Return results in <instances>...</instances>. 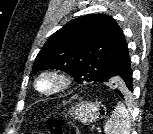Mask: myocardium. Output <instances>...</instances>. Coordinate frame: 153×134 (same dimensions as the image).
Segmentation results:
<instances>
[{
    "label": "myocardium",
    "mask_w": 153,
    "mask_h": 134,
    "mask_svg": "<svg viewBox=\"0 0 153 134\" xmlns=\"http://www.w3.org/2000/svg\"><path fill=\"white\" fill-rule=\"evenodd\" d=\"M43 78H51L55 80L56 85L53 89L50 90H42L39 87V83ZM72 85V78L66 72L59 69H46L39 73V75L35 79L34 87L42 95L45 96H53L60 94L66 90H68Z\"/></svg>",
    "instance_id": "f54148a6"
}]
</instances>
